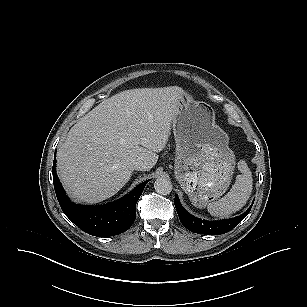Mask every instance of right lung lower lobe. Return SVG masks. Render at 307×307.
I'll return each instance as SVG.
<instances>
[{
  "label": "right lung lower lobe",
  "mask_w": 307,
  "mask_h": 307,
  "mask_svg": "<svg viewBox=\"0 0 307 307\" xmlns=\"http://www.w3.org/2000/svg\"><path fill=\"white\" fill-rule=\"evenodd\" d=\"M55 167L54 155L52 174L57 199L64 214L82 231L97 237H109L131 227L136 218V203L150 180L141 183L115 202L100 206L76 205L65 194Z\"/></svg>",
  "instance_id": "1"
}]
</instances>
